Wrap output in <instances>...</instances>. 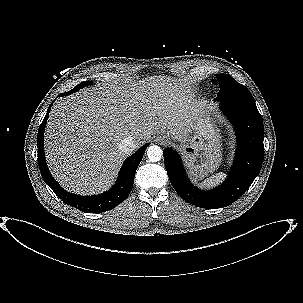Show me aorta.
Listing matches in <instances>:
<instances>
[{
	"mask_svg": "<svg viewBox=\"0 0 303 303\" xmlns=\"http://www.w3.org/2000/svg\"><path fill=\"white\" fill-rule=\"evenodd\" d=\"M163 155L162 149L157 145H151L147 148V156L149 161L158 162Z\"/></svg>",
	"mask_w": 303,
	"mask_h": 303,
	"instance_id": "aorta-1",
	"label": "aorta"
}]
</instances>
